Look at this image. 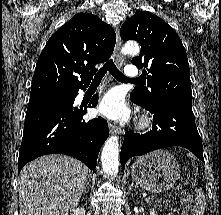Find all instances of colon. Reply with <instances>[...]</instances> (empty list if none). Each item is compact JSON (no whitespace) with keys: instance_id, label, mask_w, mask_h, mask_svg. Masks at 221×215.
I'll list each match as a JSON object with an SVG mask.
<instances>
[{"instance_id":"1","label":"colon","mask_w":221,"mask_h":215,"mask_svg":"<svg viewBox=\"0 0 221 215\" xmlns=\"http://www.w3.org/2000/svg\"><path fill=\"white\" fill-rule=\"evenodd\" d=\"M191 202H192V199L190 196H187L184 199V207H185L184 215H194V212L192 211V208H191Z\"/></svg>"}]
</instances>
